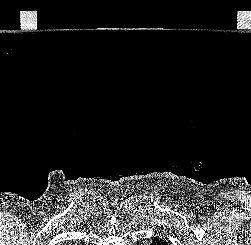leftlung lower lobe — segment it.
I'll return each instance as SVG.
<instances>
[{
	"instance_id": "1",
	"label": "left lung lower lobe",
	"mask_w": 251,
	"mask_h": 245,
	"mask_svg": "<svg viewBox=\"0 0 251 245\" xmlns=\"http://www.w3.org/2000/svg\"><path fill=\"white\" fill-rule=\"evenodd\" d=\"M153 242L151 245H168V243L165 241V239L163 238H159L158 236L157 237H154L153 239Z\"/></svg>"
}]
</instances>
